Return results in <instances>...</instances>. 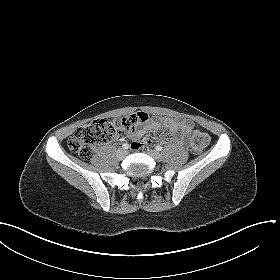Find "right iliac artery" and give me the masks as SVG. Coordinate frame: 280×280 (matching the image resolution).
<instances>
[{
	"label": "right iliac artery",
	"instance_id": "obj_1",
	"mask_svg": "<svg viewBox=\"0 0 280 280\" xmlns=\"http://www.w3.org/2000/svg\"><path fill=\"white\" fill-rule=\"evenodd\" d=\"M122 148H123V149H128V148H129V145H128L127 143H125V144L122 145Z\"/></svg>",
	"mask_w": 280,
	"mask_h": 280
}]
</instances>
